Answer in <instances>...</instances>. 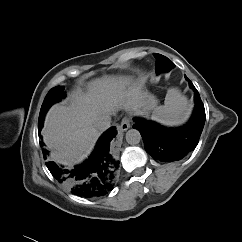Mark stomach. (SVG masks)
Returning a JSON list of instances; mask_svg holds the SVG:
<instances>
[{"instance_id":"obj_1","label":"stomach","mask_w":242,"mask_h":242,"mask_svg":"<svg viewBox=\"0 0 242 242\" xmlns=\"http://www.w3.org/2000/svg\"><path fill=\"white\" fill-rule=\"evenodd\" d=\"M148 100L150 102V105L152 106V108H154L157 105V100L155 99V97L151 94H148Z\"/></svg>"}]
</instances>
